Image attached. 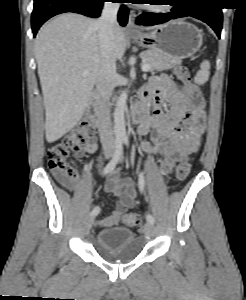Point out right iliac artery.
I'll list each match as a JSON object with an SVG mask.
<instances>
[{
    "label": "right iliac artery",
    "instance_id": "1",
    "mask_svg": "<svg viewBox=\"0 0 246 300\" xmlns=\"http://www.w3.org/2000/svg\"><path fill=\"white\" fill-rule=\"evenodd\" d=\"M123 154V140L118 139L116 140V145H115V153L113 158L108 162V164L105 166L103 169L102 174L105 176L109 173H111L114 168L116 167L120 157ZM100 212V208L96 206L92 211H91V216H97Z\"/></svg>",
    "mask_w": 246,
    "mask_h": 300
}]
</instances>
